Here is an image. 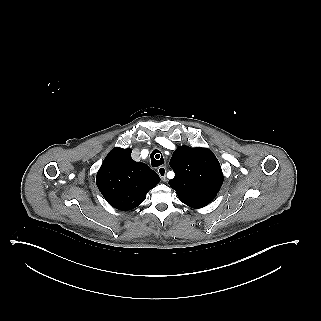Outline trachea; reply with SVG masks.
Returning <instances> with one entry per match:
<instances>
[{
  "label": "trachea",
  "mask_w": 321,
  "mask_h": 321,
  "mask_svg": "<svg viewBox=\"0 0 321 321\" xmlns=\"http://www.w3.org/2000/svg\"><path fill=\"white\" fill-rule=\"evenodd\" d=\"M164 163V158L162 155H160V152L158 150H154L151 153V164L153 167L160 166Z\"/></svg>",
  "instance_id": "1"
}]
</instances>
